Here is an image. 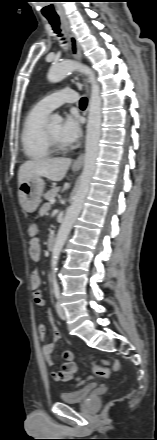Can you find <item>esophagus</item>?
<instances>
[{
    "label": "esophagus",
    "mask_w": 157,
    "mask_h": 440,
    "mask_svg": "<svg viewBox=\"0 0 157 440\" xmlns=\"http://www.w3.org/2000/svg\"><path fill=\"white\" fill-rule=\"evenodd\" d=\"M62 21H63L64 29H65L67 35L69 36L71 53L76 60L81 61L82 60V50H81L80 44H79L74 32L72 31L68 21L66 19H62ZM83 82L85 85V89H86L87 93L89 94L88 82L84 77H83ZM83 162H84V153H81L77 157V159L74 161L73 167L79 168L83 165Z\"/></svg>",
    "instance_id": "obj_1"
}]
</instances>
